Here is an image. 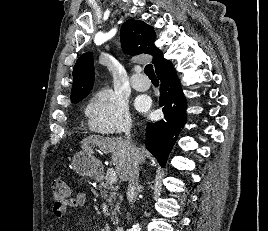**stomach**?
Wrapping results in <instances>:
<instances>
[{"label": "stomach", "instance_id": "stomach-1", "mask_svg": "<svg viewBox=\"0 0 268 231\" xmlns=\"http://www.w3.org/2000/svg\"><path fill=\"white\" fill-rule=\"evenodd\" d=\"M74 170L81 176L95 177L101 173V162L87 150L76 152L71 162Z\"/></svg>", "mask_w": 268, "mask_h": 231}]
</instances>
